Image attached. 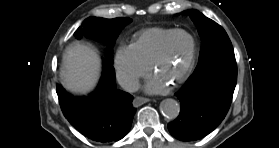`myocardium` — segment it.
I'll list each match as a JSON object with an SVG mask.
<instances>
[{
	"mask_svg": "<svg viewBox=\"0 0 279 148\" xmlns=\"http://www.w3.org/2000/svg\"><path fill=\"white\" fill-rule=\"evenodd\" d=\"M179 34H185L187 35L190 40H191V49H190V53L187 59L186 64L184 65V67L182 68L181 72L178 74V76L175 78V80L173 81L174 85L180 84L182 83L184 80L187 79V77L190 75L194 63H195V59H196V51H197V44H196V40L195 37L193 36L192 33H190L189 31L185 30V29H176L174 31H172L163 41L162 46L160 47L158 53L156 54L154 60L152 61L151 64V70L153 73L156 72L157 67L159 66V64L164 60V58L167 56L168 54V50H169V45L172 41V39Z\"/></svg>",
	"mask_w": 279,
	"mask_h": 148,
	"instance_id": "myocardium-1",
	"label": "myocardium"
}]
</instances>
